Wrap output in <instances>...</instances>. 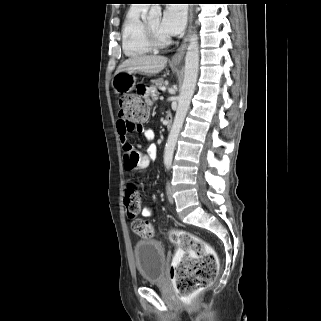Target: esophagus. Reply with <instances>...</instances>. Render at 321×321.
<instances>
[{
  "label": "esophagus",
  "instance_id": "34e87169",
  "mask_svg": "<svg viewBox=\"0 0 321 321\" xmlns=\"http://www.w3.org/2000/svg\"><path fill=\"white\" fill-rule=\"evenodd\" d=\"M191 18H192V11L190 8L188 32H187V35L185 36V38L183 39L182 44L177 49L176 53L172 56V58H171L172 62H180L184 57L185 50H186L187 43H188L189 33H190Z\"/></svg>",
  "mask_w": 321,
  "mask_h": 321
}]
</instances>
